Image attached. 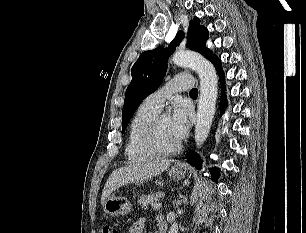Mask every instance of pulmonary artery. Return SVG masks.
Returning <instances> with one entry per match:
<instances>
[{
  "mask_svg": "<svg viewBox=\"0 0 306 233\" xmlns=\"http://www.w3.org/2000/svg\"><path fill=\"white\" fill-rule=\"evenodd\" d=\"M193 85L194 80L191 76L184 74L176 75L162 88L150 94L144 102L148 106L160 111L168 96L176 92L191 90Z\"/></svg>",
  "mask_w": 306,
  "mask_h": 233,
  "instance_id": "1",
  "label": "pulmonary artery"
}]
</instances>
